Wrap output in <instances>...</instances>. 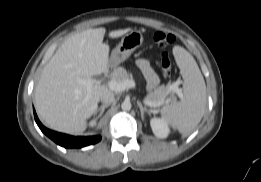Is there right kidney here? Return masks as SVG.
Here are the masks:
<instances>
[{
    "label": "right kidney",
    "instance_id": "right-kidney-1",
    "mask_svg": "<svg viewBox=\"0 0 261 182\" xmlns=\"http://www.w3.org/2000/svg\"><path fill=\"white\" fill-rule=\"evenodd\" d=\"M96 120L97 119L90 121V123H89L90 127H94L96 125Z\"/></svg>",
    "mask_w": 261,
    "mask_h": 182
}]
</instances>
